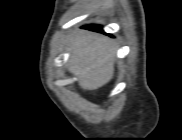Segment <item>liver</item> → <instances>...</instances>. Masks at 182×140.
Returning <instances> with one entry per match:
<instances>
[{"label": "liver", "instance_id": "1", "mask_svg": "<svg viewBox=\"0 0 182 140\" xmlns=\"http://www.w3.org/2000/svg\"><path fill=\"white\" fill-rule=\"evenodd\" d=\"M69 51L67 69L82 89L96 90L111 80L116 48L109 38L84 32L71 40Z\"/></svg>", "mask_w": 182, "mask_h": 140}]
</instances>
